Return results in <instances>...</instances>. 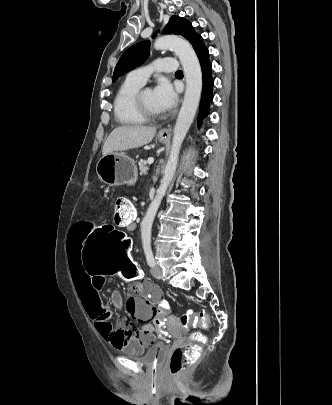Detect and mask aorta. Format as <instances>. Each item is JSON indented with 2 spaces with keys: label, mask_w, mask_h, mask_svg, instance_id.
Masks as SVG:
<instances>
[{
  "label": "aorta",
  "mask_w": 332,
  "mask_h": 405,
  "mask_svg": "<svg viewBox=\"0 0 332 405\" xmlns=\"http://www.w3.org/2000/svg\"><path fill=\"white\" fill-rule=\"evenodd\" d=\"M157 50L170 49L179 57L186 78V91L173 132L170 155L156 196L141 223L143 246L151 244V230L161 201L176 172L182 142L194 120L202 92V71L198 57L189 42L174 35L159 37L154 43Z\"/></svg>",
  "instance_id": "1"
}]
</instances>
